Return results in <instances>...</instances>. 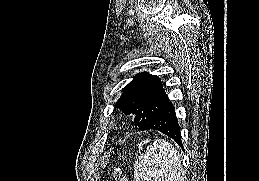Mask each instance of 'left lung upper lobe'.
Wrapping results in <instances>:
<instances>
[{
	"label": "left lung upper lobe",
	"instance_id": "obj_1",
	"mask_svg": "<svg viewBox=\"0 0 259 181\" xmlns=\"http://www.w3.org/2000/svg\"><path fill=\"white\" fill-rule=\"evenodd\" d=\"M122 92L116 106L127 115L135 114V124L141 130L155 119L168 99L161 79L146 72L137 74Z\"/></svg>",
	"mask_w": 259,
	"mask_h": 181
}]
</instances>
